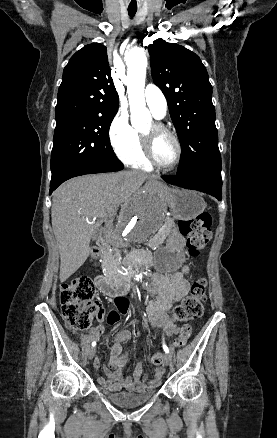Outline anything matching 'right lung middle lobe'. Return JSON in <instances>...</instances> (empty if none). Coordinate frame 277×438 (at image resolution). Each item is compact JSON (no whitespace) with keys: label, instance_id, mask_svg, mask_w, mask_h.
Listing matches in <instances>:
<instances>
[{"label":"right lung middle lobe","instance_id":"obj_1","mask_svg":"<svg viewBox=\"0 0 277 438\" xmlns=\"http://www.w3.org/2000/svg\"><path fill=\"white\" fill-rule=\"evenodd\" d=\"M114 116H56L51 153L52 179L66 171L96 164H121L109 140Z\"/></svg>","mask_w":277,"mask_h":438}]
</instances>
